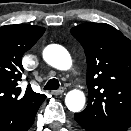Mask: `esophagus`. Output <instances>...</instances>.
Listing matches in <instances>:
<instances>
[{
	"label": "esophagus",
	"instance_id": "34e87169",
	"mask_svg": "<svg viewBox=\"0 0 131 131\" xmlns=\"http://www.w3.org/2000/svg\"><path fill=\"white\" fill-rule=\"evenodd\" d=\"M64 91H65L64 88H60V89H58V90H53V91H52V94H53V95H60V94H62Z\"/></svg>",
	"mask_w": 131,
	"mask_h": 131
}]
</instances>
